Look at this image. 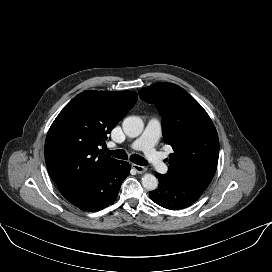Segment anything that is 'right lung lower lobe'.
<instances>
[{"mask_svg":"<svg viewBox=\"0 0 272 272\" xmlns=\"http://www.w3.org/2000/svg\"><path fill=\"white\" fill-rule=\"evenodd\" d=\"M128 162L115 160L88 181L58 186L70 203L84 211H98L112 204L123 180L130 173Z\"/></svg>","mask_w":272,"mask_h":272,"instance_id":"obj_1","label":"right lung lower lobe"}]
</instances>
